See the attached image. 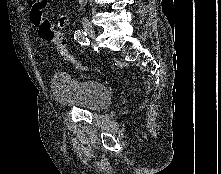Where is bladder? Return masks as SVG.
Here are the masks:
<instances>
[{
	"mask_svg": "<svg viewBox=\"0 0 221 174\" xmlns=\"http://www.w3.org/2000/svg\"><path fill=\"white\" fill-rule=\"evenodd\" d=\"M51 87L56 102L64 106L99 111L107 108L112 100V93L103 82L75 77L63 71L53 74Z\"/></svg>",
	"mask_w": 221,
	"mask_h": 174,
	"instance_id": "bladder-1",
	"label": "bladder"
}]
</instances>
